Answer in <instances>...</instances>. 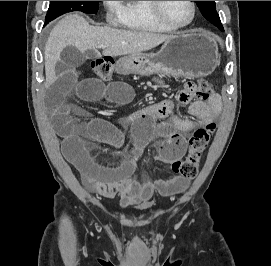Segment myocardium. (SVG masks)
I'll return each instance as SVG.
<instances>
[{
	"label": "myocardium",
	"mask_w": 271,
	"mask_h": 266,
	"mask_svg": "<svg viewBox=\"0 0 271 266\" xmlns=\"http://www.w3.org/2000/svg\"><path fill=\"white\" fill-rule=\"evenodd\" d=\"M162 3L163 1H149V5L154 16L164 25L168 26L172 30H180V29H185L193 24L196 18V13H197V6L194 1H189L192 7V15H191L190 20L186 24H183V25L175 24L166 17L162 9Z\"/></svg>",
	"instance_id": "f54148a6"
}]
</instances>
